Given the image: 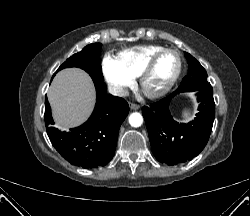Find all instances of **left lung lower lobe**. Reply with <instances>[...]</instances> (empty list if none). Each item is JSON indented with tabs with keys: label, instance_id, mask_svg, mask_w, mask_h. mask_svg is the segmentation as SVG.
<instances>
[{
	"label": "left lung lower lobe",
	"instance_id": "1",
	"mask_svg": "<svg viewBox=\"0 0 250 216\" xmlns=\"http://www.w3.org/2000/svg\"><path fill=\"white\" fill-rule=\"evenodd\" d=\"M192 91L197 92L199 112L188 124L174 121L170 114L169 105L177 91L142 108L152 152L159 162L169 166L197 156L206 146L212 130L215 117L212 91L198 89L188 92Z\"/></svg>",
	"mask_w": 250,
	"mask_h": 216
}]
</instances>
